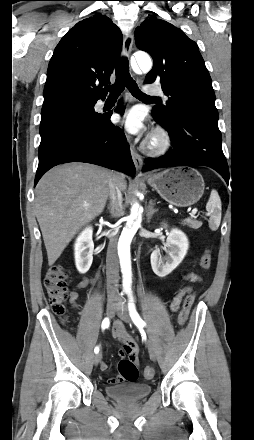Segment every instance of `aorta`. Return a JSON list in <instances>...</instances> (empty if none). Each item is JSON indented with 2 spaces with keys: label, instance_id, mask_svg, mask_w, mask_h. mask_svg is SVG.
Wrapping results in <instances>:
<instances>
[{
  "label": "aorta",
  "instance_id": "obj_1",
  "mask_svg": "<svg viewBox=\"0 0 254 440\" xmlns=\"http://www.w3.org/2000/svg\"><path fill=\"white\" fill-rule=\"evenodd\" d=\"M137 64L143 72H149L152 68V61L148 54L139 53L135 55ZM142 211L139 204L135 202L131 207V213L128 217L125 227L118 241V256L123 274V285L129 289L131 285V254L130 245L134 235L141 226Z\"/></svg>",
  "mask_w": 254,
  "mask_h": 440
}]
</instances>
